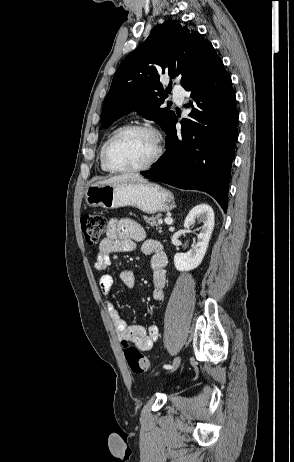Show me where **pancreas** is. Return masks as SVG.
<instances>
[{
  "instance_id": "cf45deb5",
  "label": "pancreas",
  "mask_w": 294,
  "mask_h": 462,
  "mask_svg": "<svg viewBox=\"0 0 294 462\" xmlns=\"http://www.w3.org/2000/svg\"><path fill=\"white\" fill-rule=\"evenodd\" d=\"M160 216L157 215V216H143V219L151 226H156L157 229H159V232L161 233L162 230H161V227L159 226L158 227V220H159Z\"/></svg>"
}]
</instances>
